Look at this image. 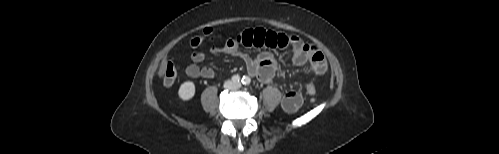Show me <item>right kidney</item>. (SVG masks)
Masks as SVG:
<instances>
[{"mask_svg":"<svg viewBox=\"0 0 499 154\" xmlns=\"http://www.w3.org/2000/svg\"><path fill=\"white\" fill-rule=\"evenodd\" d=\"M178 95L184 101L192 99L195 95L194 83L191 81H186L183 84H181L178 91Z\"/></svg>","mask_w":499,"mask_h":154,"instance_id":"right-kidney-1","label":"right kidney"}]
</instances>
